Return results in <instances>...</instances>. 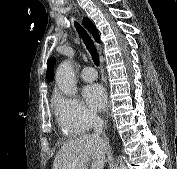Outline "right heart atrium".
<instances>
[{
    "label": "right heart atrium",
    "mask_w": 177,
    "mask_h": 169,
    "mask_svg": "<svg viewBox=\"0 0 177 169\" xmlns=\"http://www.w3.org/2000/svg\"><path fill=\"white\" fill-rule=\"evenodd\" d=\"M54 110L60 127L72 136L86 131L97 120L96 114L75 97L56 95Z\"/></svg>",
    "instance_id": "1"
}]
</instances>
